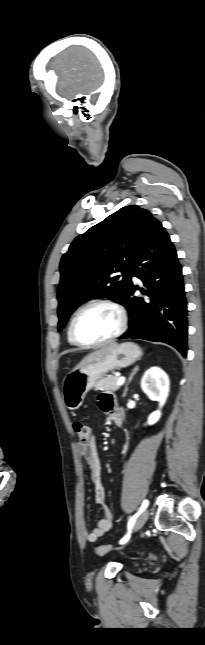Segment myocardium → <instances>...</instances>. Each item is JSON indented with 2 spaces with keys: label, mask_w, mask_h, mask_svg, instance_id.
Returning a JSON list of instances; mask_svg holds the SVG:
<instances>
[{
  "label": "myocardium",
  "mask_w": 205,
  "mask_h": 645,
  "mask_svg": "<svg viewBox=\"0 0 205 645\" xmlns=\"http://www.w3.org/2000/svg\"><path fill=\"white\" fill-rule=\"evenodd\" d=\"M92 306H106L113 309L118 315L119 323L116 331L110 336H108L107 338L96 342H85L78 337L76 333L75 325L79 315L85 309ZM127 324H128V316H127L126 310L121 304L109 298H96L84 303L76 310V312L74 313L71 319L69 331H70V336L75 344L85 348H94V347L105 345L120 337L125 332L127 328Z\"/></svg>",
  "instance_id": "1"
}]
</instances>
